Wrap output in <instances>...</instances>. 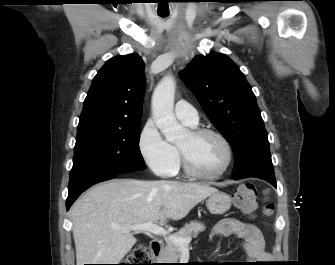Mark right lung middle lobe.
Here are the masks:
<instances>
[{"instance_id": "1", "label": "right lung middle lobe", "mask_w": 335, "mask_h": 265, "mask_svg": "<svg viewBox=\"0 0 335 265\" xmlns=\"http://www.w3.org/2000/svg\"><path fill=\"white\" fill-rule=\"evenodd\" d=\"M141 121L117 128L78 130L69 184L95 172L145 169L139 150Z\"/></svg>"}]
</instances>
